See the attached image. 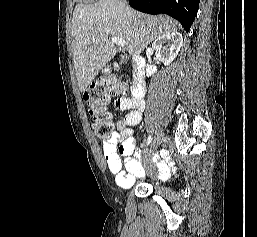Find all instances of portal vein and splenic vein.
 <instances>
[{"label":"portal vein and splenic vein","mask_w":257,"mask_h":237,"mask_svg":"<svg viewBox=\"0 0 257 237\" xmlns=\"http://www.w3.org/2000/svg\"><path fill=\"white\" fill-rule=\"evenodd\" d=\"M110 40L112 43L116 44L120 48H124V46H125V42L122 38L112 37V38H110Z\"/></svg>","instance_id":"obj_1"}]
</instances>
